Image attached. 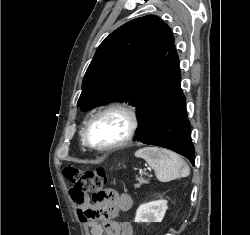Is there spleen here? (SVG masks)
<instances>
[{
	"label": "spleen",
	"mask_w": 250,
	"mask_h": 235,
	"mask_svg": "<svg viewBox=\"0 0 250 235\" xmlns=\"http://www.w3.org/2000/svg\"><path fill=\"white\" fill-rule=\"evenodd\" d=\"M135 156L143 158L154 169L161 182H168L190 174L188 164L175 152L157 147H146L135 152Z\"/></svg>",
	"instance_id": "spleen-1"
}]
</instances>
